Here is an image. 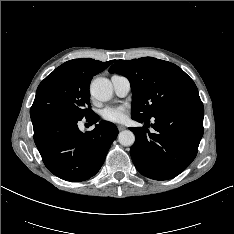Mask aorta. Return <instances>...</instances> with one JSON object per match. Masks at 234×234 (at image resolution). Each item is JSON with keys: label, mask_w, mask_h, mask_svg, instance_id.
<instances>
[{"label": "aorta", "mask_w": 234, "mask_h": 234, "mask_svg": "<svg viewBox=\"0 0 234 234\" xmlns=\"http://www.w3.org/2000/svg\"><path fill=\"white\" fill-rule=\"evenodd\" d=\"M90 92L97 100L107 101L113 94L112 83L107 78H96L91 82ZM118 141L123 146H131L135 141V136L132 131L124 130L119 133Z\"/></svg>", "instance_id": "obj_1"}]
</instances>
